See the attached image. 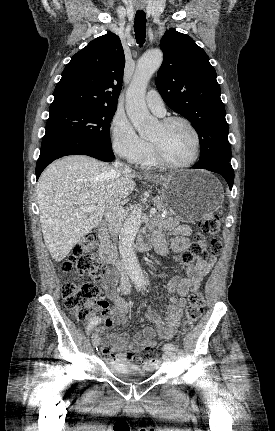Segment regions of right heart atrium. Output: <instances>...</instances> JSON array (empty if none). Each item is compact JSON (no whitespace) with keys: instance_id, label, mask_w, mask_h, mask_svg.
Masks as SVG:
<instances>
[{"instance_id":"1","label":"right heart atrium","mask_w":275,"mask_h":431,"mask_svg":"<svg viewBox=\"0 0 275 431\" xmlns=\"http://www.w3.org/2000/svg\"><path fill=\"white\" fill-rule=\"evenodd\" d=\"M110 137L115 153L131 163H138L150 150L149 144L136 133L131 122L122 113L114 115Z\"/></svg>"}]
</instances>
